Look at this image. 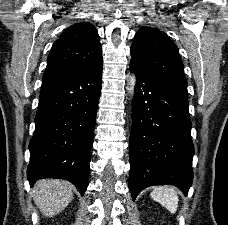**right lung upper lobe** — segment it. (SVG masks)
Instances as JSON below:
<instances>
[{"label": "right lung upper lobe", "mask_w": 228, "mask_h": 225, "mask_svg": "<svg viewBox=\"0 0 228 225\" xmlns=\"http://www.w3.org/2000/svg\"><path fill=\"white\" fill-rule=\"evenodd\" d=\"M100 59L102 46L96 28L89 22L76 23L53 44L43 81L75 73Z\"/></svg>", "instance_id": "1"}]
</instances>
